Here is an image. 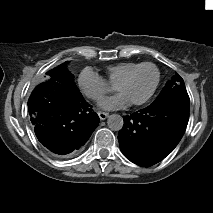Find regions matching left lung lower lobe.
<instances>
[{
	"label": "left lung lower lobe",
	"mask_w": 213,
	"mask_h": 213,
	"mask_svg": "<svg viewBox=\"0 0 213 213\" xmlns=\"http://www.w3.org/2000/svg\"><path fill=\"white\" fill-rule=\"evenodd\" d=\"M190 102L167 97L124 117L118 133L124 156L140 166L165 158L181 140L189 120Z\"/></svg>",
	"instance_id": "0a47b994"
}]
</instances>
